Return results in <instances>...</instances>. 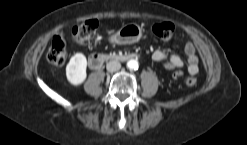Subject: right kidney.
I'll return each mask as SVG.
<instances>
[{"instance_id": "1", "label": "right kidney", "mask_w": 247, "mask_h": 145, "mask_svg": "<svg viewBox=\"0 0 247 145\" xmlns=\"http://www.w3.org/2000/svg\"><path fill=\"white\" fill-rule=\"evenodd\" d=\"M86 68V57L82 53H76L66 66L67 80L75 86L82 84L87 77Z\"/></svg>"}]
</instances>
